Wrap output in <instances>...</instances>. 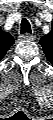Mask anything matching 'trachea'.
<instances>
[{
  "label": "trachea",
  "instance_id": "trachea-1",
  "mask_svg": "<svg viewBox=\"0 0 53 120\" xmlns=\"http://www.w3.org/2000/svg\"><path fill=\"white\" fill-rule=\"evenodd\" d=\"M21 30H20V33L21 34H24V33H31V26H30V23L28 22L27 19H22L21 21Z\"/></svg>",
  "mask_w": 53,
  "mask_h": 120
}]
</instances>
